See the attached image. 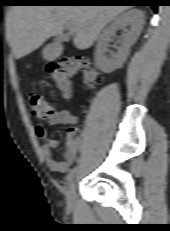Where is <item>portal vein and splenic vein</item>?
<instances>
[{"label": "portal vein and splenic vein", "instance_id": "1", "mask_svg": "<svg viewBox=\"0 0 170 231\" xmlns=\"http://www.w3.org/2000/svg\"><path fill=\"white\" fill-rule=\"evenodd\" d=\"M67 28L70 30V32L74 33L75 30L72 27L67 26Z\"/></svg>", "mask_w": 170, "mask_h": 231}]
</instances>
